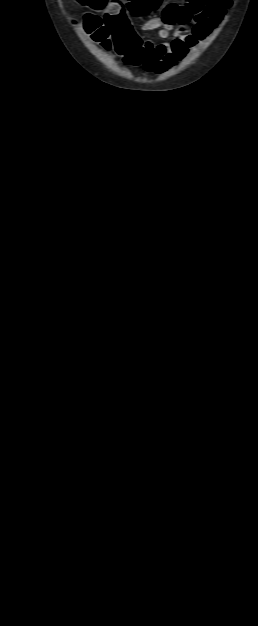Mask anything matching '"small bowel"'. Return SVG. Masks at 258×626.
Returning <instances> with one entry per match:
<instances>
[{
  "label": "small bowel",
  "instance_id": "1",
  "mask_svg": "<svg viewBox=\"0 0 258 626\" xmlns=\"http://www.w3.org/2000/svg\"><path fill=\"white\" fill-rule=\"evenodd\" d=\"M232 0H189L186 4L168 3L162 16L145 23V30H157L158 37L169 42L142 41L131 29L120 4L105 12L100 41L113 47L127 63L141 64L149 72L161 74L182 60L188 51L208 37L226 15ZM176 26H178L176 28Z\"/></svg>",
  "mask_w": 258,
  "mask_h": 626
}]
</instances>
